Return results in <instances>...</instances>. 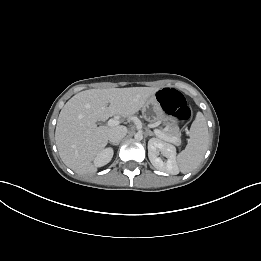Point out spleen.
I'll list each match as a JSON object with an SVG mask.
<instances>
[{
    "label": "spleen",
    "instance_id": "obj_1",
    "mask_svg": "<svg viewBox=\"0 0 261 261\" xmlns=\"http://www.w3.org/2000/svg\"><path fill=\"white\" fill-rule=\"evenodd\" d=\"M208 127L204 116L199 113L190 128V139L186 148L177 156V166L182 173L196 169L208 147Z\"/></svg>",
    "mask_w": 261,
    "mask_h": 261
}]
</instances>
